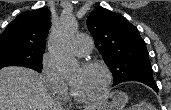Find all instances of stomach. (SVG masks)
<instances>
[{
  "label": "stomach",
  "instance_id": "1",
  "mask_svg": "<svg viewBox=\"0 0 171 110\" xmlns=\"http://www.w3.org/2000/svg\"><path fill=\"white\" fill-rule=\"evenodd\" d=\"M128 96L120 91L111 92L102 104L92 110H124Z\"/></svg>",
  "mask_w": 171,
  "mask_h": 110
}]
</instances>
